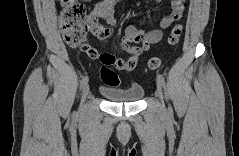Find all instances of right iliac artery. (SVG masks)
I'll return each instance as SVG.
<instances>
[{"label":"right iliac artery","mask_w":239,"mask_h":156,"mask_svg":"<svg viewBox=\"0 0 239 156\" xmlns=\"http://www.w3.org/2000/svg\"><path fill=\"white\" fill-rule=\"evenodd\" d=\"M89 81V78L88 76H85L82 80H81V83H80V86L81 87H84Z\"/></svg>","instance_id":"82829eb1"}]
</instances>
